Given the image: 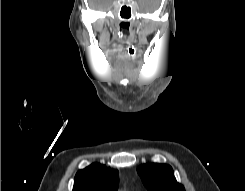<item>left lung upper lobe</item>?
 I'll return each instance as SVG.
<instances>
[{
	"mask_svg": "<svg viewBox=\"0 0 245 191\" xmlns=\"http://www.w3.org/2000/svg\"><path fill=\"white\" fill-rule=\"evenodd\" d=\"M144 185L149 191H185L183 185L176 181L171 166L149 163L138 167Z\"/></svg>",
	"mask_w": 245,
	"mask_h": 191,
	"instance_id": "5c2ea615",
	"label": "left lung upper lobe"
}]
</instances>
